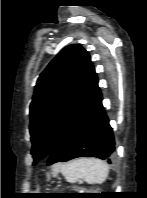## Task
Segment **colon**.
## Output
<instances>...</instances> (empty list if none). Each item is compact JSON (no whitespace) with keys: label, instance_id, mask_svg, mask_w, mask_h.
Instances as JSON below:
<instances>
[{"label":"colon","instance_id":"obj_1","mask_svg":"<svg viewBox=\"0 0 147 198\" xmlns=\"http://www.w3.org/2000/svg\"><path fill=\"white\" fill-rule=\"evenodd\" d=\"M77 191H83V190H85V189H83V188H78V189H76Z\"/></svg>","mask_w":147,"mask_h":198}]
</instances>
